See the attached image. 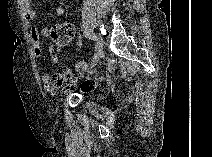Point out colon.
<instances>
[{
  "label": "colon",
  "instance_id": "1",
  "mask_svg": "<svg viewBox=\"0 0 212 157\" xmlns=\"http://www.w3.org/2000/svg\"><path fill=\"white\" fill-rule=\"evenodd\" d=\"M75 36V28L71 23L64 22L55 24L51 29V37L58 46H65L73 40ZM52 82L56 87H64L70 89L75 86L72 76L69 72L55 73L52 76ZM92 85L89 81L81 84L84 91H89Z\"/></svg>",
  "mask_w": 212,
  "mask_h": 157
}]
</instances>
